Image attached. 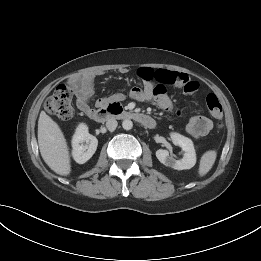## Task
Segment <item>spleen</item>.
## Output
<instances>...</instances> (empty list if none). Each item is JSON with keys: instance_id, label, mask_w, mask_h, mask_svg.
Wrapping results in <instances>:
<instances>
[{"instance_id": "spleen-1", "label": "spleen", "mask_w": 261, "mask_h": 261, "mask_svg": "<svg viewBox=\"0 0 261 261\" xmlns=\"http://www.w3.org/2000/svg\"><path fill=\"white\" fill-rule=\"evenodd\" d=\"M216 157L217 152L214 150H209L202 155L198 169L199 176L202 177L211 170L215 163Z\"/></svg>"}]
</instances>
